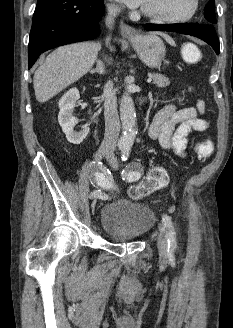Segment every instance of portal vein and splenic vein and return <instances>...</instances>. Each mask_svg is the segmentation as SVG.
<instances>
[{
  "label": "portal vein and splenic vein",
  "mask_w": 233,
  "mask_h": 328,
  "mask_svg": "<svg viewBox=\"0 0 233 328\" xmlns=\"http://www.w3.org/2000/svg\"><path fill=\"white\" fill-rule=\"evenodd\" d=\"M151 81H152V76H149L148 79H147V82L151 83Z\"/></svg>",
  "instance_id": "obj_1"
}]
</instances>
